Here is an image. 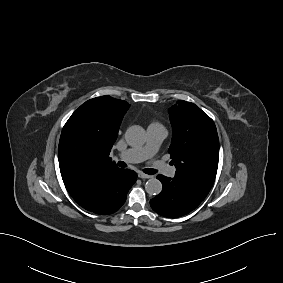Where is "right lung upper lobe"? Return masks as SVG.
<instances>
[{
  "label": "right lung upper lobe",
  "instance_id": "right-lung-upper-lobe-1",
  "mask_svg": "<svg viewBox=\"0 0 283 283\" xmlns=\"http://www.w3.org/2000/svg\"><path fill=\"white\" fill-rule=\"evenodd\" d=\"M129 106L126 101L110 96L93 98L82 104L66 122L62 131L71 120H77L83 138L81 144L70 146L61 133L59 141L60 172L70 194L104 171L118 168L109 154Z\"/></svg>",
  "mask_w": 283,
  "mask_h": 283
}]
</instances>
